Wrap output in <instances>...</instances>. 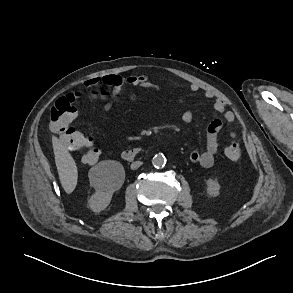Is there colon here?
I'll return each mask as SVG.
<instances>
[{"label": "colon", "instance_id": "5ec220e1", "mask_svg": "<svg viewBox=\"0 0 293 293\" xmlns=\"http://www.w3.org/2000/svg\"><path fill=\"white\" fill-rule=\"evenodd\" d=\"M109 95L110 92L108 91L96 93V96L101 99H106ZM79 97V92L60 97L51 108L50 126L66 147L81 152V159L84 164L94 165L100 155L99 148L92 139L72 126V120L77 115L75 102ZM224 152L228 159L238 160L241 153L239 143L234 139L230 140Z\"/></svg>", "mask_w": 293, "mask_h": 293}]
</instances>
